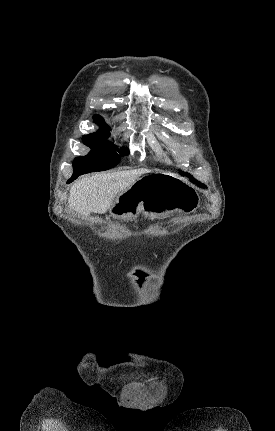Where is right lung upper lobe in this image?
<instances>
[{"mask_svg":"<svg viewBox=\"0 0 275 431\" xmlns=\"http://www.w3.org/2000/svg\"><path fill=\"white\" fill-rule=\"evenodd\" d=\"M95 122L98 123V124L104 123L103 120H102V118L99 117V116H95Z\"/></svg>","mask_w":275,"mask_h":431,"instance_id":"right-lung-upper-lobe-1","label":"right lung upper lobe"}]
</instances>
